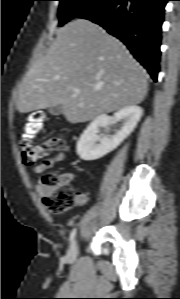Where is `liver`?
<instances>
[{
	"label": "liver",
	"mask_w": 180,
	"mask_h": 299,
	"mask_svg": "<svg viewBox=\"0 0 180 299\" xmlns=\"http://www.w3.org/2000/svg\"><path fill=\"white\" fill-rule=\"evenodd\" d=\"M147 87L146 71L118 39L77 19L59 29L26 73L17 109L28 113L61 105L68 122H86L141 103Z\"/></svg>",
	"instance_id": "1"
}]
</instances>
